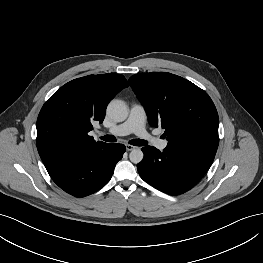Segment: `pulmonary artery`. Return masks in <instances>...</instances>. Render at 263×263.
I'll use <instances>...</instances> for the list:
<instances>
[{
	"label": "pulmonary artery",
	"mask_w": 263,
	"mask_h": 263,
	"mask_svg": "<svg viewBox=\"0 0 263 263\" xmlns=\"http://www.w3.org/2000/svg\"><path fill=\"white\" fill-rule=\"evenodd\" d=\"M145 122L146 111L144 107L141 104H133L129 110L127 119L123 123L108 129L107 132L117 136H124L133 133L141 139L152 142L158 149H165L168 142L166 140L156 139L149 135L145 130Z\"/></svg>",
	"instance_id": "e3ab8cb5"
}]
</instances>
